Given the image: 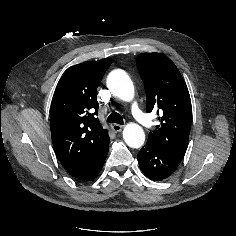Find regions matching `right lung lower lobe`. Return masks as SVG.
Instances as JSON below:
<instances>
[{
	"instance_id": "98d812e1",
	"label": "right lung lower lobe",
	"mask_w": 236,
	"mask_h": 236,
	"mask_svg": "<svg viewBox=\"0 0 236 236\" xmlns=\"http://www.w3.org/2000/svg\"><path fill=\"white\" fill-rule=\"evenodd\" d=\"M106 156L88 174H86L80 180L92 181L98 175L99 171L101 170L103 163L106 159Z\"/></svg>"
}]
</instances>
